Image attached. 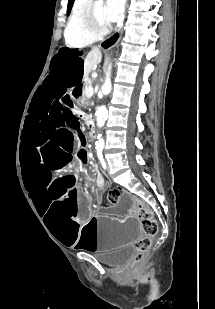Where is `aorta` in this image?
<instances>
[{"label":"aorta","instance_id":"762f6f07","mask_svg":"<svg viewBox=\"0 0 215 309\" xmlns=\"http://www.w3.org/2000/svg\"><path fill=\"white\" fill-rule=\"evenodd\" d=\"M95 4H97V6H102V4H104V0H95ZM111 68H112V64L110 62L109 66H108V70L106 72L104 84L102 86V92H104V94H105V92H110V90H111V86H112ZM107 116H108V110H107L105 104H102V106H99L98 110H96V120H97L98 126H104ZM96 146H97V148H103L104 138H99Z\"/></svg>","mask_w":215,"mask_h":309}]
</instances>
